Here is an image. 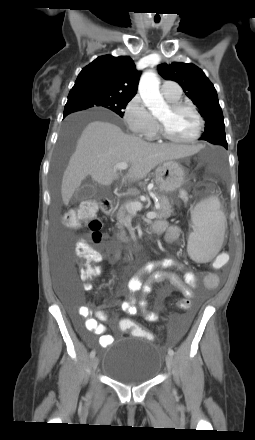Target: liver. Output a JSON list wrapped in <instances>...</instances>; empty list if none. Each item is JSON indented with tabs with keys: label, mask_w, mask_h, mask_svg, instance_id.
<instances>
[{
	"label": "liver",
	"mask_w": 255,
	"mask_h": 440,
	"mask_svg": "<svg viewBox=\"0 0 255 440\" xmlns=\"http://www.w3.org/2000/svg\"><path fill=\"white\" fill-rule=\"evenodd\" d=\"M200 149L198 145L148 143L125 134L115 124L93 121L83 130L63 174L62 200L67 205L88 175L101 185H110L118 178L114 171L118 163L131 165L123 181L135 182L146 177L157 165L191 156Z\"/></svg>",
	"instance_id": "1"
}]
</instances>
